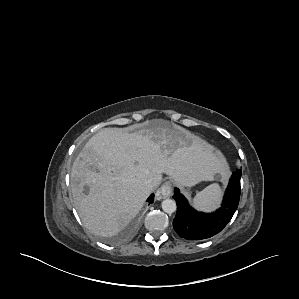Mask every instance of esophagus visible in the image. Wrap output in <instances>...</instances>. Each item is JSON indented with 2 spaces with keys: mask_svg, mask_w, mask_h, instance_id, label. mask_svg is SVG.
I'll use <instances>...</instances> for the list:
<instances>
[{
  "mask_svg": "<svg viewBox=\"0 0 299 299\" xmlns=\"http://www.w3.org/2000/svg\"><path fill=\"white\" fill-rule=\"evenodd\" d=\"M171 192H172V184L171 182L167 181L157 191L156 198L158 200L164 199L166 197H169L171 195Z\"/></svg>",
  "mask_w": 299,
  "mask_h": 299,
  "instance_id": "obj_1",
  "label": "esophagus"
}]
</instances>
